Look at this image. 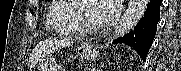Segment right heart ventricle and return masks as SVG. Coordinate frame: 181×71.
I'll list each match as a JSON object with an SVG mask.
<instances>
[{
	"label": "right heart ventricle",
	"instance_id": "e07e8e85",
	"mask_svg": "<svg viewBox=\"0 0 181 71\" xmlns=\"http://www.w3.org/2000/svg\"><path fill=\"white\" fill-rule=\"evenodd\" d=\"M45 24L48 29L62 36H75L80 32L74 5L68 1H50L45 14Z\"/></svg>",
	"mask_w": 181,
	"mask_h": 71
}]
</instances>
